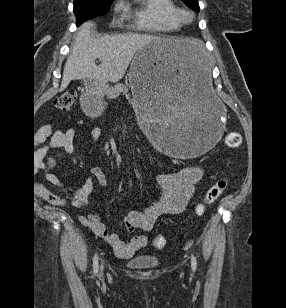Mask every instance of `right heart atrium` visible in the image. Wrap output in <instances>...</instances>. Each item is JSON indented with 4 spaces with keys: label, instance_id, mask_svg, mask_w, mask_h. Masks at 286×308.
I'll list each match as a JSON object with an SVG mask.
<instances>
[{
    "label": "right heart atrium",
    "instance_id": "1",
    "mask_svg": "<svg viewBox=\"0 0 286 308\" xmlns=\"http://www.w3.org/2000/svg\"><path fill=\"white\" fill-rule=\"evenodd\" d=\"M125 8V3L123 0H117L114 5V10L116 12H122Z\"/></svg>",
    "mask_w": 286,
    "mask_h": 308
}]
</instances>
